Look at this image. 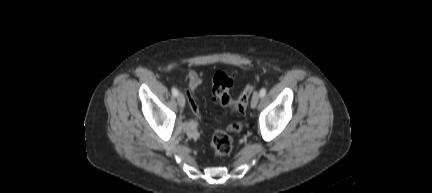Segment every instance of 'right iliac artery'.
Masks as SVG:
<instances>
[{
    "label": "right iliac artery",
    "mask_w": 432,
    "mask_h": 193,
    "mask_svg": "<svg viewBox=\"0 0 432 193\" xmlns=\"http://www.w3.org/2000/svg\"><path fill=\"white\" fill-rule=\"evenodd\" d=\"M172 94L175 97L178 96V90L175 87L172 88Z\"/></svg>",
    "instance_id": "82829eb1"
}]
</instances>
